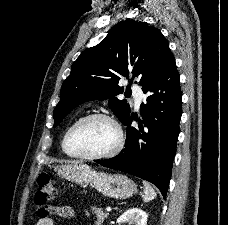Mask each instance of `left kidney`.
I'll list each match as a JSON object with an SVG mask.
<instances>
[{"label":"left kidney","mask_w":228,"mask_h":225,"mask_svg":"<svg viewBox=\"0 0 228 225\" xmlns=\"http://www.w3.org/2000/svg\"><path fill=\"white\" fill-rule=\"evenodd\" d=\"M146 213L141 211V209H137V207H132V209H128L126 213H123L119 219H117V223H128V225H146L147 223Z\"/></svg>","instance_id":"left-kidney-1"}]
</instances>
